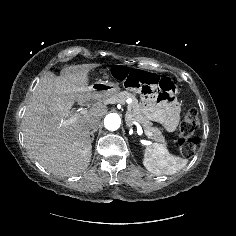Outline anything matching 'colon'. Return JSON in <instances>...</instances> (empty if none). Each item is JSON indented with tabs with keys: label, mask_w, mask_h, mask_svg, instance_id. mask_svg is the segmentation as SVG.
Listing matches in <instances>:
<instances>
[{
	"label": "colon",
	"mask_w": 236,
	"mask_h": 236,
	"mask_svg": "<svg viewBox=\"0 0 236 236\" xmlns=\"http://www.w3.org/2000/svg\"><path fill=\"white\" fill-rule=\"evenodd\" d=\"M109 78L122 82L129 89H140L142 94L151 95L162 93L170 96L174 92V85L167 78H159L156 75L130 70L124 66H114L105 73ZM199 124V115L196 109H189L178 128V144L181 153L190 157L195 152L200 138L195 134Z\"/></svg>",
	"instance_id": "colon-1"
}]
</instances>
